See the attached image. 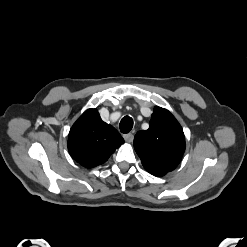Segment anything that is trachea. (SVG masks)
<instances>
[{
  "instance_id": "obj_1",
  "label": "trachea",
  "mask_w": 247,
  "mask_h": 247,
  "mask_svg": "<svg viewBox=\"0 0 247 247\" xmlns=\"http://www.w3.org/2000/svg\"><path fill=\"white\" fill-rule=\"evenodd\" d=\"M120 131L124 134L129 133L133 127V119L129 116H125L122 118L120 124Z\"/></svg>"
}]
</instances>
